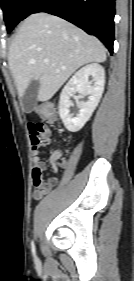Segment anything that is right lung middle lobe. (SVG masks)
<instances>
[{
  "label": "right lung middle lobe",
  "instance_id": "dd1d6c3e",
  "mask_svg": "<svg viewBox=\"0 0 134 281\" xmlns=\"http://www.w3.org/2000/svg\"><path fill=\"white\" fill-rule=\"evenodd\" d=\"M33 2L34 0H1L8 32H11L21 20L26 18V12Z\"/></svg>",
  "mask_w": 134,
  "mask_h": 281
}]
</instances>
